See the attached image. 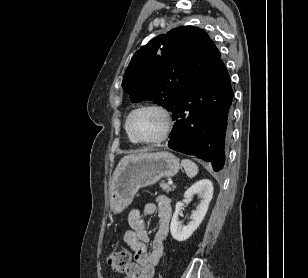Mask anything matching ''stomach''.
Returning <instances> with one entry per match:
<instances>
[{
    "label": "stomach",
    "instance_id": "0dacf381",
    "mask_svg": "<svg viewBox=\"0 0 308 278\" xmlns=\"http://www.w3.org/2000/svg\"><path fill=\"white\" fill-rule=\"evenodd\" d=\"M179 169V159L166 151L140 152L123 157L111 178V211L122 212L140 188L151 186L163 177H172Z\"/></svg>",
    "mask_w": 308,
    "mask_h": 278
}]
</instances>
